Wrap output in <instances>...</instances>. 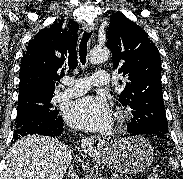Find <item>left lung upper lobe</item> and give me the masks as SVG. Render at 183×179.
I'll return each mask as SVG.
<instances>
[{
	"instance_id": "1",
	"label": "left lung upper lobe",
	"mask_w": 183,
	"mask_h": 179,
	"mask_svg": "<svg viewBox=\"0 0 183 179\" xmlns=\"http://www.w3.org/2000/svg\"><path fill=\"white\" fill-rule=\"evenodd\" d=\"M106 36L113 67L127 79L118 97L133 115L128 128L137 134L167 136L157 47L141 27L122 13L110 17Z\"/></svg>"
}]
</instances>
